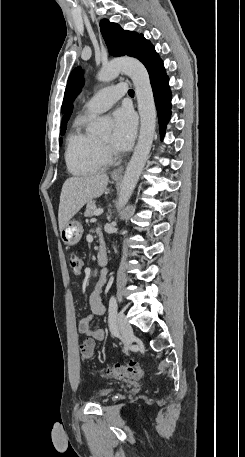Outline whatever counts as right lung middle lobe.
Wrapping results in <instances>:
<instances>
[{
  "label": "right lung middle lobe",
  "mask_w": 245,
  "mask_h": 457,
  "mask_svg": "<svg viewBox=\"0 0 245 457\" xmlns=\"http://www.w3.org/2000/svg\"><path fill=\"white\" fill-rule=\"evenodd\" d=\"M65 130H66V129H62V130H61V135H63V134L65 133ZM60 143H61V140H60Z\"/></svg>",
  "instance_id": "dd1d6c3e"
}]
</instances>
